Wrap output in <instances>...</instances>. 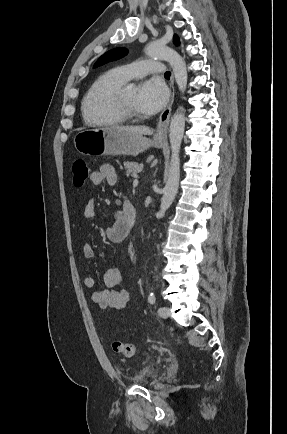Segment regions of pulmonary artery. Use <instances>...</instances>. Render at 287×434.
Segmentation results:
<instances>
[{
	"instance_id": "1",
	"label": "pulmonary artery",
	"mask_w": 287,
	"mask_h": 434,
	"mask_svg": "<svg viewBox=\"0 0 287 434\" xmlns=\"http://www.w3.org/2000/svg\"><path fill=\"white\" fill-rule=\"evenodd\" d=\"M118 70L121 77L127 81L148 74H161L163 72V64L156 61L139 60L120 66Z\"/></svg>"
}]
</instances>
